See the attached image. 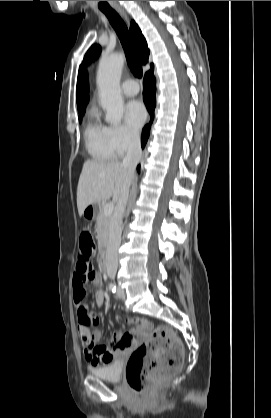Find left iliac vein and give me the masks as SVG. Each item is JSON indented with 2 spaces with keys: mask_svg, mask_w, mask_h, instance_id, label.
Returning a JSON list of instances; mask_svg holds the SVG:
<instances>
[{
  "mask_svg": "<svg viewBox=\"0 0 271 418\" xmlns=\"http://www.w3.org/2000/svg\"><path fill=\"white\" fill-rule=\"evenodd\" d=\"M117 296L120 299H124L126 296L125 291L120 286L117 287Z\"/></svg>",
  "mask_w": 271,
  "mask_h": 418,
  "instance_id": "obj_1",
  "label": "left iliac vein"
}]
</instances>
